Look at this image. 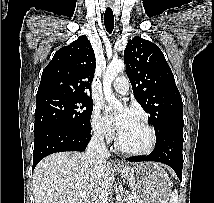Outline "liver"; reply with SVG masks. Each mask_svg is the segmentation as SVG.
I'll return each instance as SVG.
<instances>
[{
	"mask_svg": "<svg viewBox=\"0 0 214 203\" xmlns=\"http://www.w3.org/2000/svg\"><path fill=\"white\" fill-rule=\"evenodd\" d=\"M114 181L110 163L96 167L85 153L58 152L41 160L34 169L33 194L35 203H91L100 185L108 191Z\"/></svg>",
	"mask_w": 214,
	"mask_h": 203,
	"instance_id": "obj_1",
	"label": "liver"
}]
</instances>
